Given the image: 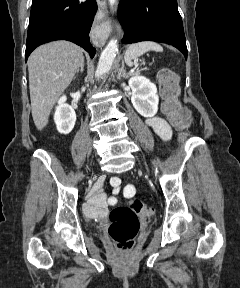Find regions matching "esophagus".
Instances as JSON below:
<instances>
[{
	"label": "esophagus",
	"instance_id": "esophagus-1",
	"mask_svg": "<svg viewBox=\"0 0 240 288\" xmlns=\"http://www.w3.org/2000/svg\"><path fill=\"white\" fill-rule=\"evenodd\" d=\"M97 4H98L97 21L100 24V29L102 32V41L105 42L110 32L107 2L106 0H97Z\"/></svg>",
	"mask_w": 240,
	"mask_h": 288
}]
</instances>
